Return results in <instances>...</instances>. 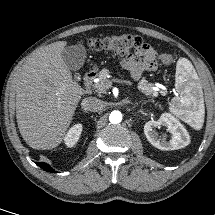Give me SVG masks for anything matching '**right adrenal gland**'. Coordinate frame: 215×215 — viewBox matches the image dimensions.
Listing matches in <instances>:
<instances>
[{
    "label": "right adrenal gland",
    "instance_id": "right-adrenal-gland-1",
    "mask_svg": "<svg viewBox=\"0 0 215 215\" xmlns=\"http://www.w3.org/2000/svg\"><path fill=\"white\" fill-rule=\"evenodd\" d=\"M83 112H84V113H88V111H85V110H84Z\"/></svg>",
    "mask_w": 215,
    "mask_h": 215
}]
</instances>
